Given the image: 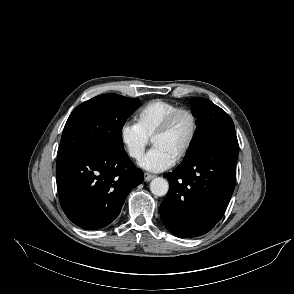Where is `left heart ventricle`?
I'll list each match as a JSON object with an SVG mask.
<instances>
[{
    "instance_id": "1",
    "label": "left heart ventricle",
    "mask_w": 294,
    "mask_h": 294,
    "mask_svg": "<svg viewBox=\"0 0 294 294\" xmlns=\"http://www.w3.org/2000/svg\"><path fill=\"white\" fill-rule=\"evenodd\" d=\"M191 128L190 118L187 115H181L166 134L153 141V146L162 148L176 158L185 147Z\"/></svg>"
}]
</instances>
